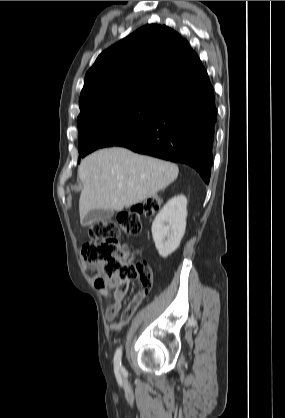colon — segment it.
<instances>
[{
    "mask_svg": "<svg viewBox=\"0 0 285 418\" xmlns=\"http://www.w3.org/2000/svg\"><path fill=\"white\" fill-rule=\"evenodd\" d=\"M160 204L158 196L133 206L129 211L117 216L118 223L105 221L88 228V238L81 248L82 259L90 265H100V271L94 278V285L107 289L110 280L117 276L128 279L139 275V266L128 261V249L119 242L120 232L126 235H137L141 230V217L151 216ZM149 288L141 285L134 295V302L141 303L147 296Z\"/></svg>",
    "mask_w": 285,
    "mask_h": 418,
    "instance_id": "obj_1",
    "label": "colon"
}]
</instances>
